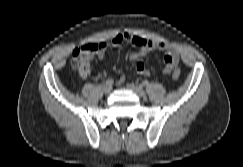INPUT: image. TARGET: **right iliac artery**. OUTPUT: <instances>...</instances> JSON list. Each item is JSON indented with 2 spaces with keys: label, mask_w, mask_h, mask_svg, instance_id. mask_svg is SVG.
Masks as SVG:
<instances>
[{
  "label": "right iliac artery",
  "mask_w": 243,
  "mask_h": 167,
  "mask_svg": "<svg viewBox=\"0 0 243 167\" xmlns=\"http://www.w3.org/2000/svg\"><path fill=\"white\" fill-rule=\"evenodd\" d=\"M113 83H114V81L111 78H109V79L106 80V84L107 85H110L111 86Z\"/></svg>",
  "instance_id": "right-iliac-artery-1"
}]
</instances>
